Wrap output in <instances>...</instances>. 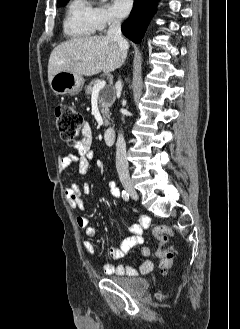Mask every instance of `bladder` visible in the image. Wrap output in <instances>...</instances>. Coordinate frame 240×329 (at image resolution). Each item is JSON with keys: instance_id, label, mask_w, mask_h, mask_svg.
<instances>
[{"instance_id": "bladder-1", "label": "bladder", "mask_w": 240, "mask_h": 329, "mask_svg": "<svg viewBox=\"0 0 240 329\" xmlns=\"http://www.w3.org/2000/svg\"><path fill=\"white\" fill-rule=\"evenodd\" d=\"M112 280L128 291L145 292L148 288V281L143 278L114 277Z\"/></svg>"}]
</instances>
